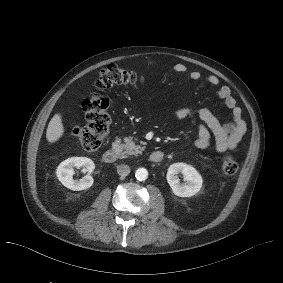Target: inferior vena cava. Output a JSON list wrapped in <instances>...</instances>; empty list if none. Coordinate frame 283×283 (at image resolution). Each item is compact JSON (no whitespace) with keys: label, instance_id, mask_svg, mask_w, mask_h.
Here are the masks:
<instances>
[{"label":"inferior vena cava","instance_id":"obj_1","mask_svg":"<svg viewBox=\"0 0 283 283\" xmlns=\"http://www.w3.org/2000/svg\"><path fill=\"white\" fill-rule=\"evenodd\" d=\"M117 173L120 176H127L130 173V168L126 164H121L117 167Z\"/></svg>","mask_w":283,"mask_h":283}]
</instances>
